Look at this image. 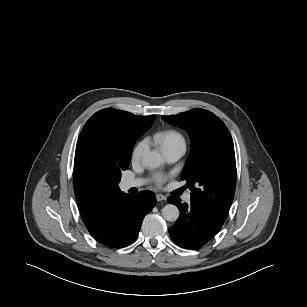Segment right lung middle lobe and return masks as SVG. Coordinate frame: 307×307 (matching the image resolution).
I'll use <instances>...</instances> for the list:
<instances>
[{"instance_id": "right-lung-middle-lobe-1", "label": "right lung middle lobe", "mask_w": 307, "mask_h": 307, "mask_svg": "<svg viewBox=\"0 0 307 307\" xmlns=\"http://www.w3.org/2000/svg\"><path fill=\"white\" fill-rule=\"evenodd\" d=\"M143 134L132 125L112 124L101 128L91 146L96 169L118 184L121 172L130 164L133 146Z\"/></svg>"}]
</instances>
